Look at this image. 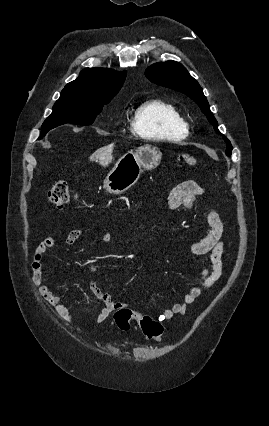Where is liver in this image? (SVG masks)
Returning <instances> with one entry per match:
<instances>
[{
    "label": "liver",
    "instance_id": "obj_1",
    "mask_svg": "<svg viewBox=\"0 0 269 426\" xmlns=\"http://www.w3.org/2000/svg\"><path fill=\"white\" fill-rule=\"evenodd\" d=\"M114 145L104 146L95 151L89 158L90 161H96L101 166L107 167L113 160Z\"/></svg>",
    "mask_w": 269,
    "mask_h": 426
}]
</instances>
